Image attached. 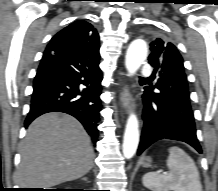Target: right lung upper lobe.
I'll return each mask as SVG.
<instances>
[{
	"mask_svg": "<svg viewBox=\"0 0 218 191\" xmlns=\"http://www.w3.org/2000/svg\"><path fill=\"white\" fill-rule=\"evenodd\" d=\"M50 43L63 44L78 50H94L99 48V35L90 23L78 20L58 32Z\"/></svg>",
	"mask_w": 218,
	"mask_h": 191,
	"instance_id": "1",
	"label": "right lung upper lobe"
}]
</instances>
